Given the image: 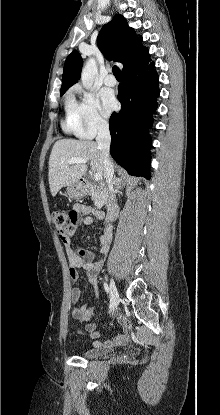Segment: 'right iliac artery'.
<instances>
[{"label":"right iliac artery","mask_w":220,"mask_h":415,"mask_svg":"<svg viewBox=\"0 0 220 415\" xmlns=\"http://www.w3.org/2000/svg\"><path fill=\"white\" fill-rule=\"evenodd\" d=\"M104 288H105V291H106L107 293H109V287H108V284H107V283H104Z\"/></svg>","instance_id":"1"}]
</instances>
